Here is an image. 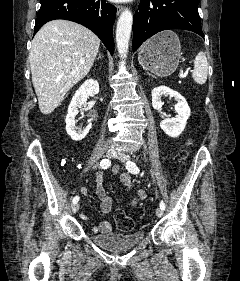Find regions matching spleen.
<instances>
[{"mask_svg": "<svg viewBox=\"0 0 240 281\" xmlns=\"http://www.w3.org/2000/svg\"><path fill=\"white\" fill-rule=\"evenodd\" d=\"M208 75V62L206 55L199 52L194 60V69L192 71L193 80L202 85L206 82Z\"/></svg>", "mask_w": 240, "mask_h": 281, "instance_id": "3e777b00", "label": "spleen"}]
</instances>
